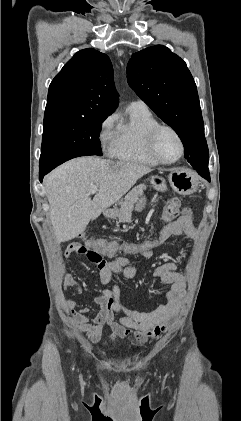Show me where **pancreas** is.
I'll list each match as a JSON object with an SVG mask.
<instances>
[{"instance_id":"pancreas-1","label":"pancreas","mask_w":241,"mask_h":421,"mask_svg":"<svg viewBox=\"0 0 241 421\" xmlns=\"http://www.w3.org/2000/svg\"><path fill=\"white\" fill-rule=\"evenodd\" d=\"M145 184H140L133 188L124 199L120 200L118 204L121 208L118 210L117 217L119 218V222H126L131 220L132 211L134 208V204L139 200V198L143 195L144 190H146Z\"/></svg>"}]
</instances>
